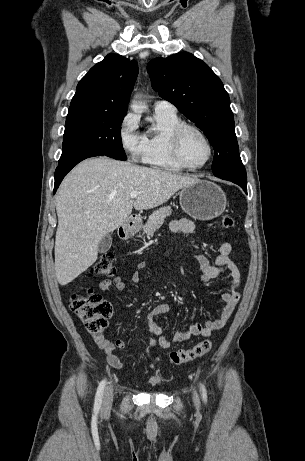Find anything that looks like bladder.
I'll return each instance as SVG.
<instances>
[{
    "label": "bladder",
    "mask_w": 305,
    "mask_h": 461,
    "mask_svg": "<svg viewBox=\"0 0 305 461\" xmlns=\"http://www.w3.org/2000/svg\"><path fill=\"white\" fill-rule=\"evenodd\" d=\"M148 383L153 386H159L163 383V377L162 376H154L152 377Z\"/></svg>",
    "instance_id": "31cf9c89"
}]
</instances>
